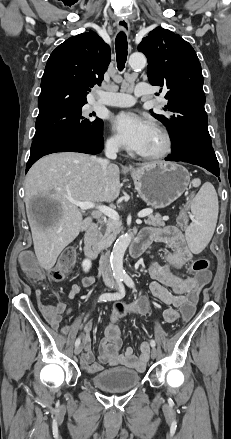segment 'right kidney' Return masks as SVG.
Returning a JSON list of instances; mask_svg holds the SVG:
<instances>
[{
  "label": "right kidney",
  "instance_id": "right-kidney-1",
  "mask_svg": "<svg viewBox=\"0 0 231 439\" xmlns=\"http://www.w3.org/2000/svg\"><path fill=\"white\" fill-rule=\"evenodd\" d=\"M91 265H92V263H91V260H89V259H85L82 262V267H83V270L85 272H88L90 270Z\"/></svg>",
  "mask_w": 231,
  "mask_h": 439
}]
</instances>
